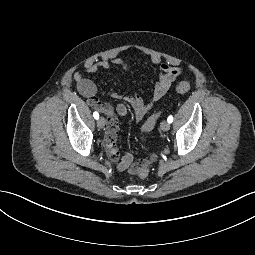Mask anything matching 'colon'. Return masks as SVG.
I'll use <instances>...</instances> for the list:
<instances>
[{"label": "colon", "mask_w": 255, "mask_h": 255, "mask_svg": "<svg viewBox=\"0 0 255 255\" xmlns=\"http://www.w3.org/2000/svg\"><path fill=\"white\" fill-rule=\"evenodd\" d=\"M176 92L179 94H184L187 93L190 90V83L188 81H181L176 85ZM161 111L153 113L147 120L146 122L142 125L141 127V132L143 136L151 132L160 117ZM149 174V169L147 166H142L138 170V176L141 179H145Z\"/></svg>", "instance_id": "1"}]
</instances>
